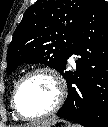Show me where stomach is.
I'll use <instances>...</instances> for the list:
<instances>
[{
	"label": "stomach",
	"mask_w": 108,
	"mask_h": 127,
	"mask_svg": "<svg viewBox=\"0 0 108 127\" xmlns=\"http://www.w3.org/2000/svg\"><path fill=\"white\" fill-rule=\"evenodd\" d=\"M43 127H72V126L66 120L56 119L55 121L51 122L47 126H43Z\"/></svg>",
	"instance_id": "0dacf381"
}]
</instances>
